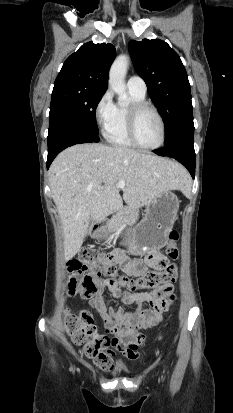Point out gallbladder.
Masks as SVG:
<instances>
[{
    "instance_id": "1",
    "label": "gallbladder",
    "mask_w": 233,
    "mask_h": 413,
    "mask_svg": "<svg viewBox=\"0 0 233 413\" xmlns=\"http://www.w3.org/2000/svg\"><path fill=\"white\" fill-rule=\"evenodd\" d=\"M89 235H90V228L88 227V230L86 232V236H89Z\"/></svg>"
}]
</instances>
